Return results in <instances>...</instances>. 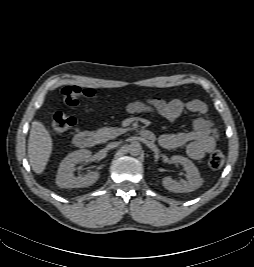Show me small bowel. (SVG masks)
<instances>
[{"mask_svg": "<svg viewBox=\"0 0 254 267\" xmlns=\"http://www.w3.org/2000/svg\"><path fill=\"white\" fill-rule=\"evenodd\" d=\"M157 109L160 114L170 121H175L185 111L196 115L192 122V130L172 134H163L159 137V143L166 149H176L186 146L187 154L190 158L199 160L210 153L216 146L218 132L209 117L207 105L193 99L184 102L180 99H173L165 102L160 98H151L146 102L135 101L127 106V110L132 113H140Z\"/></svg>", "mask_w": 254, "mask_h": 267, "instance_id": "c3829d8e", "label": "small bowel"}]
</instances>
